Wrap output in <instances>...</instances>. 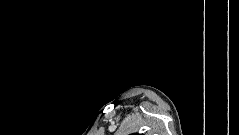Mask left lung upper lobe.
I'll return each mask as SVG.
<instances>
[{
	"label": "left lung upper lobe",
	"instance_id": "1",
	"mask_svg": "<svg viewBox=\"0 0 239 135\" xmlns=\"http://www.w3.org/2000/svg\"><path fill=\"white\" fill-rule=\"evenodd\" d=\"M131 135H140V134H137V133H133V134H131Z\"/></svg>",
	"mask_w": 239,
	"mask_h": 135
}]
</instances>
